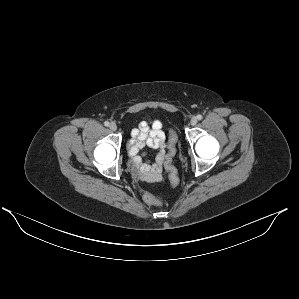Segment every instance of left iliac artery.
<instances>
[{
    "mask_svg": "<svg viewBox=\"0 0 299 299\" xmlns=\"http://www.w3.org/2000/svg\"><path fill=\"white\" fill-rule=\"evenodd\" d=\"M197 119H198V120H201V119H202V115H200V114L197 115Z\"/></svg>",
    "mask_w": 299,
    "mask_h": 299,
    "instance_id": "left-iliac-artery-1",
    "label": "left iliac artery"
}]
</instances>
